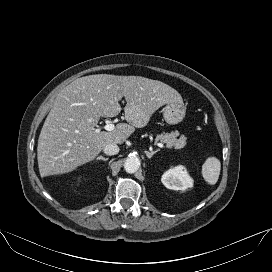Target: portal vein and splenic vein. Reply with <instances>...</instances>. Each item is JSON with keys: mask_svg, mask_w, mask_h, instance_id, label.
<instances>
[{"mask_svg": "<svg viewBox=\"0 0 272 272\" xmlns=\"http://www.w3.org/2000/svg\"><path fill=\"white\" fill-rule=\"evenodd\" d=\"M105 130H107V131H113L114 129H115V126H114V124H112V123H107L106 125H104V127H103ZM98 131H100L99 129H98ZM157 145L160 147V148H164V145L162 144V143H157Z\"/></svg>", "mask_w": 272, "mask_h": 272, "instance_id": "18ae733b", "label": "portal vein and splenic vein"}]
</instances>
